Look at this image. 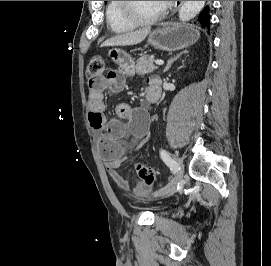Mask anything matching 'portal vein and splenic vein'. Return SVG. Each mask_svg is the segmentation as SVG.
Wrapping results in <instances>:
<instances>
[{"mask_svg": "<svg viewBox=\"0 0 271 266\" xmlns=\"http://www.w3.org/2000/svg\"><path fill=\"white\" fill-rule=\"evenodd\" d=\"M155 64H156L157 66H161V65L164 64V61H163V60H156V61H155Z\"/></svg>", "mask_w": 271, "mask_h": 266, "instance_id": "18ae733b", "label": "portal vein and splenic vein"}]
</instances>
